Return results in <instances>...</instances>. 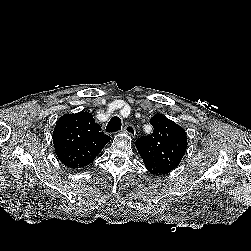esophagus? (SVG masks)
Here are the masks:
<instances>
[{
  "label": "esophagus",
  "instance_id": "obj_1",
  "mask_svg": "<svg viewBox=\"0 0 251 251\" xmlns=\"http://www.w3.org/2000/svg\"><path fill=\"white\" fill-rule=\"evenodd\" d=\"M124 131L129 134L131 137L135 135V127L132 124H127L124 127Z\"/></svg>",
  "mask_w": 251,
  "mask_h": 251
}]
</instances>
